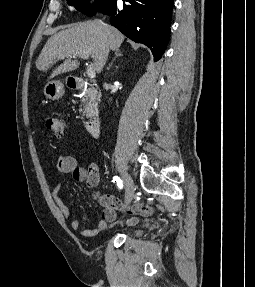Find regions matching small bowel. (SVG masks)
Listing matches in <instances>:
<instances>
[{
  "label": "small bowel",
  "mask_w": 255,
  "mask_h": 287,
  "mask_svg": "<svg viewBox=\"0 0 255 287\" xmlns=\"http://www.w3.org/2000/svg\"><path fill=\"white\" fill-rule=\"evenodd\" d=\"M57 169L61 174L70 175L77 182H86L89 188H94L99 182L98 171L95 167L85 169L78 165L77 160L70 155L61 156L57 162ZM62 184L59 183L53 190V199L60 212L65 219H70V227L73 230L79 229L80 222L78 219L71 217L70 210L66 203L60 196ZM93 197L103 207L102 219L96 226L81 230L80 234L84 237H93L107 229L109 223L114 222L116 218V210L119 208V201L116 197L107 194L93 193ZM153 212L152 207L148 205H136L128 210V214L132 215L127 221V225H135L138 223L139 218L134 216L135 213L140 215H149Z\"/></svg>",
  "instance_id": "small-bowel-1"
}]
</instances>
